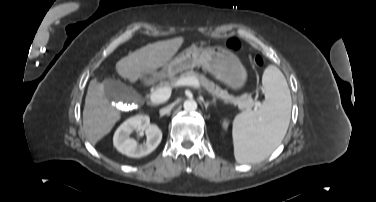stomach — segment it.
Instances as JSON below:
<instances>
[{"label":"stomach","mask_w":376,"mask_h":202,"mask_svg":"<svg viewBox=\"0 0 376 202\" xmlns=\"http://www.w3.org/2000/svg\"><path fill=\"white\" fill-rule=\"evenodd\" d=\"M194 67H202L218 80L234 88L240 87L246 78L244 66L226 46L216 48L191 46L186 48L164 66L161 75L170 79L177 78L179 73Z\"/></svg>","instance_id":"stomach-1"}]
</instances>
